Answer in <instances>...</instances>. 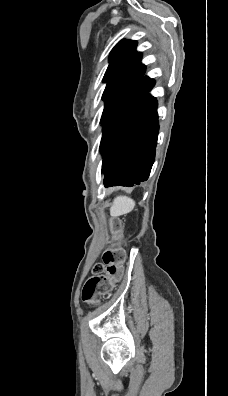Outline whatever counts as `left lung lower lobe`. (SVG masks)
<instances>
[{
    "label": "left lung lower lobe",
    "mask_w": 228,
    "mask_h": 396,
    "mask_svg": "<svg viewBox=\"0 0 228 396\" xmlns=\"http://www.w3.org/2000/svg\"><path fill=\"white\" fill-rule=\"evenodd\" d=\"M154 85L155 81L143 76L102 122L100 151L106 187H131L149 177L159 130L156 99L149 94Z\"/></svg>",
    "instance_id": "1"
}]
</instances>
